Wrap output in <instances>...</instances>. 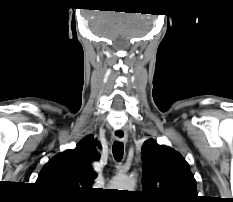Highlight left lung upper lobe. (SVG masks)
Returning <instances> with one entry per match:
<instances>
[{
  "mask_svg": "<svg viewBox=\"0 0 233 202\" xmlns=\"http://www.w3.org/2000/svg\"><path fill=\"white\" fill-rule=\"evenodd\" d=\"M142 196L146 202H197V185L188 163L150 139L142 146Z\"/></svg>",
  "mask_w": 233,
  "mask_h": 202,
  "instance_id": "left-lung-upper-lobe-1",
  "label": "left lung upper lobe"
}]
</instances>
